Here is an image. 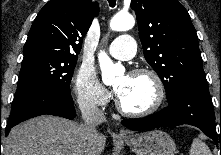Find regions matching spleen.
<instances>
[{
    "instance_id": "obj_1",
    "label": "spleen",
    "mask_w": 221,
    "mask_h": 155,
    "mask_svg": "<svg viewBox=\"0 0 221 155\" xmlns=\"http://www.w3.org/2000/svg\"><path fill=\"white\" fill-rule=\"evenodd\" d=\"M189 155H212V153L202 140L195 138L192 142Z\"/></svg>"
}]
</instances>
